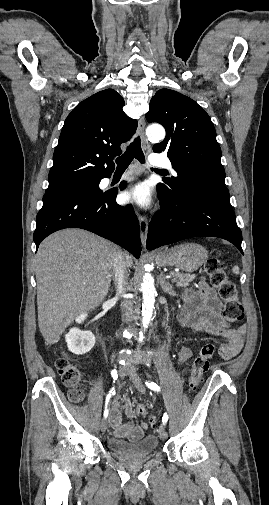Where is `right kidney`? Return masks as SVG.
<instances>
[{
  "mask_svg": "<svg viewBox=\"0 0 269 505\" xmlns=\"http://www.w3.org/2000/svg\"><path fill=\"white\" fill-rule=\"evenodd\" d=\"M87 317L86 313L80 314L76 318L77 323H82ZM69 351L77 355L89 352L95 345V336L91 331H81L78 328H72L65 335Z\"/></svg>",
  "mask_w": 269,
  "mask_h": 505,
  "instance_id": "1",
  "label": "right kidney"
}]
</instances>
